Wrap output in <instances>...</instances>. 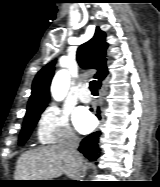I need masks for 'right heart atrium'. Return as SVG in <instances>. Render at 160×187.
I'll return each instance as SVG.
<instances>
[{
    "label": "right heart atrium",
    "instance_id": "obj_1",
    "mask_svg": "<svg viewBox=\"0 0 160 187\" xmlns=\"http://www.w3.org/2000/svg\"><path fill=\"white\" fill-rule=\"evenodd\" d=\"M37 133L42 144L78 143V136L71 126L68 113L55 105L46 107L40 114Z\"/></svg>",
    "mask_w": 160,
    "mask_h": 187
}]
</instances>
